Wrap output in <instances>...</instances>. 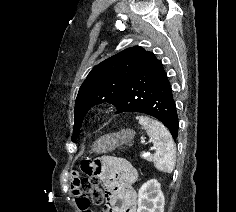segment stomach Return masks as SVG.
Here are the masks:
<instances>
[{
  "mask_svg": "<svg viewBox=\"0 0 236 212\" xmlns=\"http://www.w3.org/2000/svg\"><path fill=\"white\" fill-rule=\"evenodd\" d=\"M135 137V131L123 129L118 133L107 134L100 137L93 145V151L97 153H107L113 151L116 147L127 144Z\"/></svg>",
  "mask_w": 236,
  "mask_h": 212,
  "instance_id": "obj_1",
  "label": "stomach"
}]
</instances>
